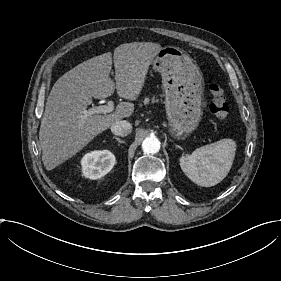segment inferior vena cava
Returning <instances> with one entry per match:
<instances>
[{"mask_svg":"<svg viewBox=\"0 0 281 281\" xmlns=\"http://www.w3.org/2000/svg\"><path fill=\"white\" fill-rule=\"evenodd\" d=\"M111 131L114 135L127 136L132 131V125L128 121H117L111 126Z\"/></svg>","mask_w":281,"mask_h":281,"instance_id":"1","label":"inferior vena cava"}]
</instances>
